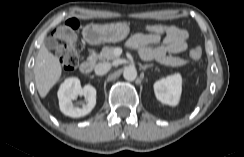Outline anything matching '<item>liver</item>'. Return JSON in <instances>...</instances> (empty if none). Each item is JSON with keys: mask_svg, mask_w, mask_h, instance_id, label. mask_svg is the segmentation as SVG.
I'll list each match as a JSON object with an SVG mask.
<instances>
[{"mask_svg": "<svg viewBox=\"0 0 244 157\" xmlns=\"http://www.w3.org/2000/svg\"><path fill=\"white\" fill-rule=\"evenodd\" d=\"M61 73L62 67L58 58L42 45L34 66L35 84L41 98H45L59 81Z\"/></svg>", "mask_w": 244, "mask_h": 157, "instance_id": "6515ba94", "label": "liver"}]
</instances>
